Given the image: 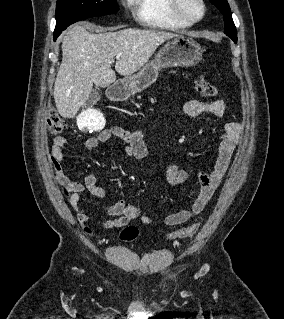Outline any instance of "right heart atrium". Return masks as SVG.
Here are the masks:
<instances>
[{"label": "right heart atrium", "mask_w": 284, "mask_h": 319, "mask_svg": "<svg viewBox=\"0 0 284 319\" xmlns=\"http://www.w3.org/2000/svg\"><path fill=\"white\" fill-rule=\"evenodd\" d=\"M123 3H125L127 6L131 5L132 0H121Z\"/></svg>", "instance_id": "d8ad5b80"}]
</instances>
